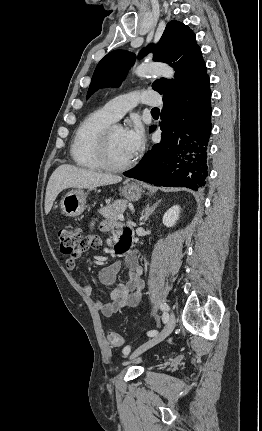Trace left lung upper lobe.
Wrapping results in <instances>:
<instances>
[{"label": "left lung upper lobe", "instance_id": "1", "mask_svg": "<svg viewBox=\"0 0 262 431\" xmlns=\"http://www.w3.org/2000/svg\"><path fill=\"white\" fill-rule=\"evenodd\" d=\"M151 51L154 61L169 63L176 70L174 80L161 78L152 84L163 97L187 91L208 77L195 35L181 22H169L158 44L149 45L140 56ZM134 60L135 56L123 50L107 54L94 71L87 98L99 88L119 86Z\"/></svg>", "mask_w": 262, "mask_h": 431}]
</instances>
